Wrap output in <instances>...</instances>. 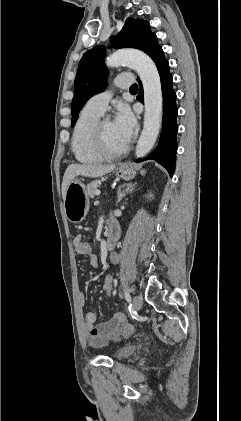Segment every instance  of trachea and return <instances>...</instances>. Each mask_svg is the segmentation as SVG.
<instances>
[{
  "label": "trachea",
  "instance_id": "trachea-1",
  "mask_svg": "<svg viewBox=\"0 0 241 421\" xmlns=\"http://www.w3.org/2000/svg\"><path fill=\"white\" fill-rule=\"evenodd\" d=\"M135 90H138V86H137V84H133V85L130 87V91H135Z\"/></svg>",
  "mask_w": 241,
  "mask_h": 421
}]
</instances>
